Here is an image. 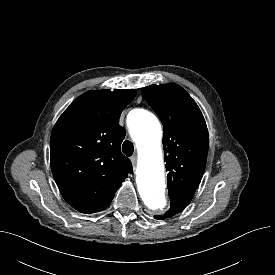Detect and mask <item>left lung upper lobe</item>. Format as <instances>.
<instances>
[{
    "label": "left lung upper lobe",
    "instance_id": "5c2ea615",
    "mask_svg": "<svg viewBox=\"0 0 275 275\" xmlns=\"http://www.w3.org/2000/svg\"><path fill=\"white\" fill-rule=\"evenodd\" d=\"M148 104L163 126L168 194L194 195L203 176L208 153V130L191 96L177 84L143 89Z\"/></svg>",
    "mask_w": 275,
    "mask_h": 275
}]
</instances>
